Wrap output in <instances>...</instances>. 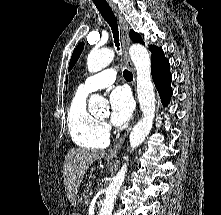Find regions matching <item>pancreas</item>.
<instances>
[{"instance_id": "pancreas-1", "label": "pancreas", "mask_w": 221, "mask_h": 215, "mask_svg": "<svg viewBox=\"0 0 221 215\" xmlns=\"http://www.w3.org/2000/svg\"><path fill=\"white\" fill-rule=\"evenodd\" d=\"M92 190V185L91 184H87L85 186V188L83 189V192L81 193V196H80V201L82 203H84L85 205H88L89 204V196H88V193L89 191Z\"/></svg>"}]
</instances>
